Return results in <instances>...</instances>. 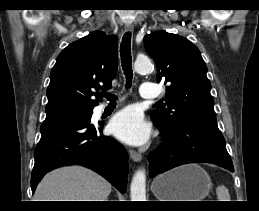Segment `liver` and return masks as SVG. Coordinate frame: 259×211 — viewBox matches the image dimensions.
Wrapping results in <instances>:
<instances>
[{
  "label": "liver",
  "mask_w": 259,
  "mask_h": 211,
  "mask_svg": "<svg viewBox=\"0 0 259 211\" xmlns=\"http://www.w3.org/2000/svg\"><path fill=\"white\" fill-rule=\"evenodd\" d=\"M111 184L82 166L62 167L44 176L34 201H107Z\"/></svg>",
  "instance_id": "1"
}]
</instances>
